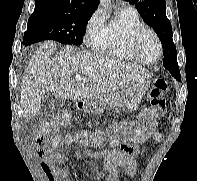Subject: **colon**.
Masks as SVG:
<instances>
[{"instance_id": "colon-1", "label": "colon", "mask_w": 197, "mask_h": 181, "mask_svg": "<svg viewBox=\"0 0 197 181\" xmlns=\"http://www.w3.org/2000/svg\"><path fill=\"white\" fill-rule=\"evenodd\" d=\"M168 91V84L164 79H156L149 92L150 109L143 111L139 117L129 123H124L122 129L132 135L135 141L142 140L147 134L151 133L159 120L166 113L167 102L165 95ZM70 120V114L64 112L53 118L51 121L47 122L34 136L37 140H42L44 136L50 139V144L53 146H58L62 142L66 145H70L73 142L71 137H65L61 139L59 136L55 135V132L68 124ZM120 129H112L108 137L103 135H96L91 139L87 137H81L80 142L84 145H91L94 147L103 148L106 146L107 141L110 143H115L119 139ZM122 149L128 150L129 144L127 142L122 143Z\"/></svg>"}]
</instances>
